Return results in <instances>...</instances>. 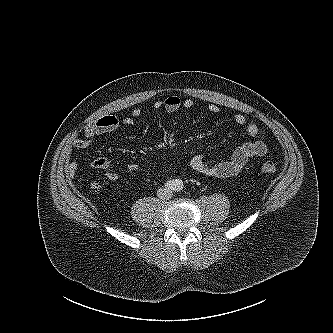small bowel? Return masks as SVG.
Masks as SVG:
<instances>
[{
    "label": "small bowel",
    "mask_w": 333,
    "mask_h": 333,
    "mask_svg": "<svg viewBox=\"0 0 333 333\" xmlns=\"http://www.w3.org/2000/svg\"><path fill=\"white\" fill-rule=\"evenodd\" d=\"M194 107V102L191 99H181L178 96L172 95L164 100H158L154 103L156 110L165 109L167 112H176L180 109L190 110ZM208 111L212 114H219L221 109L216 104H209ZM142 111L136 108L130 116L119 118L116 116H104L88 123L84 130L83 137L76 138L73 141V146L76 149L87 148L92 140L101 134L115 131L122 126H131L135 120L141 117ZM234 122L243 127L251 140L238 146L228 160L221 161L215 164L205 162L202 154L194 155L190 161V168L199 174L216 177L228 178L239 174L245 167L247 162L255 157H262L267 154L268 148L264 140V131L253 121H248L247 118L237 113L233 116ZM92 166L104 172L105 176L111 180H117L118 174L112 168L111 164L102 157H97L92 161ZM77 163L71 161L66 164L65 171L69 177H74L77 172ZM141 166L137 163H130L126 166V171L129 173L138 172Z\"/></svg>",
    "instance_id": "1"
}]
</instances>
